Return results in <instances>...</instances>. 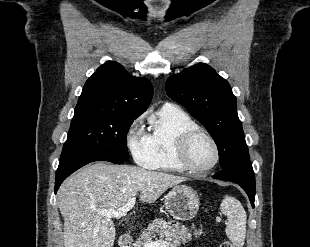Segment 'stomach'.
I'll use <instances>...</instances> for the list:
<instances>
[{
  "mask_svg": "<svg viewBox=\"0 0 310 247\" xmlns=\"http://www.w3.org/2000/svg\"><path fill=\"white\" fill-rule=\"evenodd\" d=\"M165 209L176 220L188 221L199 209V197L194 189L186 185L173 187L164 200Z\"/></svg>",
  "mask_w": 310,
  "mask_h": 247,
  "instance_id": "stomach-1",
  "label": "stomach"
}]
</instances>
